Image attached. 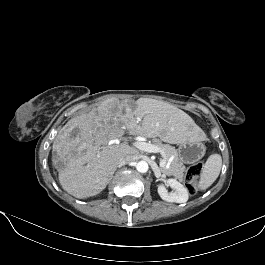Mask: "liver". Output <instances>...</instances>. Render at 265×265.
I'll return each mask as SVG.
<instances>
[{"mask_svg":"<svg viewBox=\"0 0 265 265\" xmlns=\"http://www.w3.org/2000/svg\"><path fill=\"white\" fill-rule=\"evenodd\" d=\"M126 129L171 144L197 141L199 133L188 114L166 102L139 99L133 108L128 101L107 99L89 113L70 119L54 139L52 163L62 188L79 199L103 191L118 162L126 155L138 154L126 143L108 145Z\"/></svg>","mask_w":265,"mask_h":265,"instance_id":"6515ba94","label":"liver"}]
</instances>
